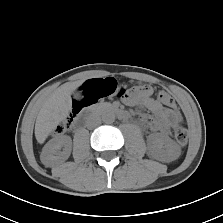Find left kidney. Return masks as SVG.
<instances>
[{
  "label": "left kidney",
  "instance_id": "5707ae66",
  "mask_svg": "<svg viewBox=\"0 0 223 223\" xmlns=\"http://www.w3.org/2000/svg\"><path fill=\"white\" fill-rule=\"evenodd\" d=\"M149 153L154 159L170 162L180 155V148L168 136L154 135L149 138Z\"/></svg>",
  "mask_w": 223,
  "mask_h": 223
}]
</instances>
